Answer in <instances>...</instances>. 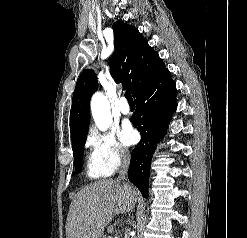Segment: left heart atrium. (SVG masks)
Instances as JSON below:
<instances>
[{"instance_id":"left-heart-atrium-1","label":"left heart atrium","mask_w":247,"mask_h":238,"mask_svg":"<svg viewBox=\"0 0 247 238\" xmlns=\"http://www.w3.org/2000/svg\"><path fill=\"white\" fill-rule=\"evenodd\" d=\"M120 138L126 145H131L137 140V133L130 124H124L120 130Z\"/></svg>"}]
</instances>
